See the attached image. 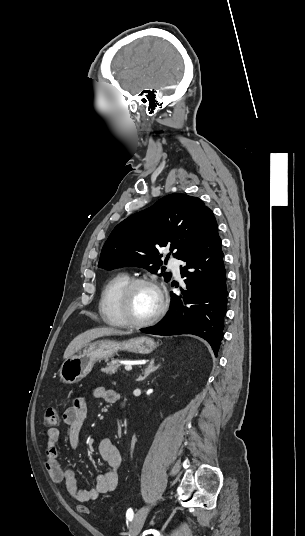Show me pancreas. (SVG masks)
Instances as JSON below:
<instances>
[{
	"mask_svg": "<svg viewBox=\"0 0 305 536\" xmlns=\"http://www.w3.org/2000/svg\"><path fill=\"white\" fill-rule=\"evenodd\" d=\"M119 366H122V364H117L116 360H112V362H108V364H106V368H103L102 372H105V374H109V376H112V374H115V372H117Z\"/></svg>",
	"mask_w": 305,
	"mask_h": 536,
	"instance_id": "pancreas-1",
	"label": "pancreas"
}]
</instances>
